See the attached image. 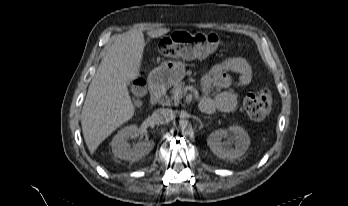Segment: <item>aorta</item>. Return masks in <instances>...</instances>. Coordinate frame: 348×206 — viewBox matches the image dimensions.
Segmentation results:
<instances>
[{
    "label": "aorta",
    "instance_id": "aorta-1",
    "mask_svg": "<svg viewBox=\"0 0 348 206\" xmlns=\"http://www.w3.org/2000/svg\"><path fill=\"white\" fill-rule=\"evenodd\" d=\"M179 129L182 134H190L193 130L192 124L188 120H180Z\"/></svg>",
    "mask_w": 348,
    "mask_h": 206
}]
</instances>
